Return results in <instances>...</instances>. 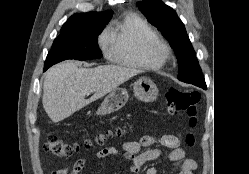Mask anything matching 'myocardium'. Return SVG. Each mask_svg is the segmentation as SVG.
Returning a JSON list of instances; mask_svg holds the SVG:
<instances>
[{
	"mask_svg": "<svg viewBox=\"0 0 249 174\" xmlns=\"http://www.w3.org/2000/svg\"><path fill=\"white\" fill-rule=\"evenodd\" d=\"M146 54L157 61L164 63L171 55L169 45L161 40L150 43L146 49Z\"/></svg>",
	"mask_w": 249,
	"mask_h": 174,
	"instance_id": "myocardium-1",
	"label": "myocardium"
}]
</instances>
